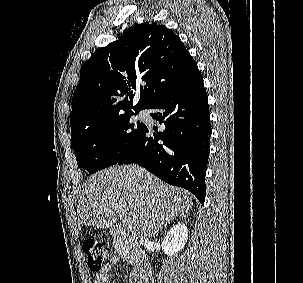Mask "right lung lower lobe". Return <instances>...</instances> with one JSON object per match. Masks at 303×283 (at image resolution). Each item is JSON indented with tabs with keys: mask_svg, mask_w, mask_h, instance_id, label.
Here are the masks:
<instances>
[{
	"mask_svg": "<svg viewBox=\"0 0 303 283\" xmlns=\"http://www.w3.org/2000/svg\"><path fill=\"white\" fill-rule=\"evenodd\" d=\"M147 109L158 110L151 116L164 124L165 130L150 136L146 127L117 164H139L161 180L187 189L203 204L211 126L201 73Z\"/></svg>",
	"mask_w": 303,
	"mask_h": 283,
	"instance_id": "1",
	"label": "right lung lower lobe"
}]
</instances>
